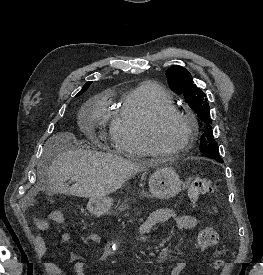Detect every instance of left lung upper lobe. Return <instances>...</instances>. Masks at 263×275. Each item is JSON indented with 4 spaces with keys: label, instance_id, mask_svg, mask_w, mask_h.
Listing matches in <instances>:
<instances>
[{
    "label": "left lung upper lobe",
    "instance_id": "obj_1",
    "mask_svg": "<svg viewBox=\"0 0 263 275\" xmlns=\"http://www.w3.org/2000/svg\"><path fill=\"white\" fill-rule=\"evenodd\" d=\"M170 88L177 94H182L189 106L195 110L202 120L204 133L200 138V151L203 155L221 161L218 144L214 140L211 127L210 109L206 95L194 83L191 74L181 66H171L166 71Z\"/></svg>",
    "mask_w": 263,
    "mask_h": 275
}]
</instances>
